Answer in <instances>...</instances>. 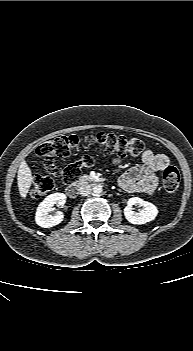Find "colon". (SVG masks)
<instances>
[{
    "label": "colon",
    "instance_id": "5ec220e1",
    "mask_svg": "<svg viewBox=\"0 0 193 351\" xmlns=\"http://www.w3.org/2000/svg\"><path fill=\"white\" fill-rule=\"evenodd\" d=\"M81 143L96 145L104 154H117L120 156H138L144 151V143L138 138H127L113 133L100 132L89 134L84 138L76 135H62L42 142L36 148L39 157L46 161V170L59 175L64 184H70L78 179L83 167L92 166L95 159L86 154L78 162L68 165L62 171L58 170L52 160L57 157H67L78 149ZM181 174L176 166H167L163 171V189L168 194L175 193L180 185ZM54 187L53 178L47 175L37 176L32 184L30 195L38 199L48 194Z\"/></svg>",
    "mask_w": 193,
    "mask_h": 351
}]
</instances>
